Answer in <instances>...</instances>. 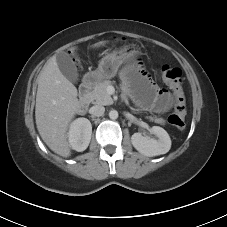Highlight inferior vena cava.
<instances>
[{
  "label": "inferior vena cava",
  "instance_id": "602c4592",
  "mask_svg": "<svg viewBox=\"0 0 227 227\" xmlns=\"http://www.w3.org/2000/svg\"><path fill=\"white\" fill-rule=\"evenodd\" d=\"M105 112V108L102 105H95L90 108V113L94 116H102Z\"/></svg>",
  "mask_w": 227,
  "mask_h": 227
}]
</instances>
